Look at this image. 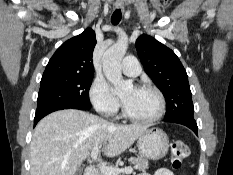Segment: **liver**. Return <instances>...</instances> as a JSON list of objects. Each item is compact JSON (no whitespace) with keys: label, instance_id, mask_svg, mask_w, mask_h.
Listing matches in <instances>:
<instances>
[{"label":"liver","instance_id":"6515ba94","mask_svg":"<svg viewBox=\"0 0 233 175\" xmlns=\"http://www.w3.org/2000/svg\"><path fill=\"white\" fill-rule=\"evenodd\" d=\"M146 129L144 125L113 124L75 109L53 112L35 127L31 175H75L94 147H102L106 157L118 156Z\"/></svg>","mask_w":233,"mask_h":175}]
</instances>
